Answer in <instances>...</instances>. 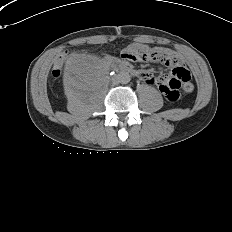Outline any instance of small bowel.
<instances>
[{"label": "small bowel", "mask_w": 232, "mask_h": 232, "mask_svg": "<svg viewBox=\"0 0 232 232\" xmlns=\"http://www.w3.org/2000/svg\"><path fill=\"white\" fill-rule=\"evenodd\" d=\"M132 48H134V50H136L138 48H146V47L143 45H140V44H133ZM156 50L161 53V58L165 59L166 64L172 68V73H173V68L178 67V66L182 67V60H181L180 56L178 54H176L174 51H172L170 49H166V48H158ZM108 59L113 60L112 57H108ZM148 60L153 61L154 59H148ZM140 76H141L142 81L145 84L157 85L159 90L162 92V87H163L165 78L154 77L152 74H150L146 71H142ZM192 89H193V85H192L191 81H188L186 83V90L192 91Z\"/></svg>", "instance_id": "obj_1"}]
</instances>
